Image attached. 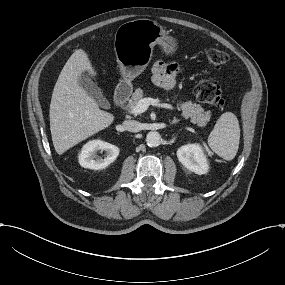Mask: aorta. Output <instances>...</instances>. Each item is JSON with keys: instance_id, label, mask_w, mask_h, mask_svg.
Listing matches in <instances>:
<instances>
[{"instance_id": "1", "label": "aorta", "mask_w": 285, "mask_h": 285, "mask_svg": "<svg viewBox=\"0 0 285 285\" xmlns=\"http://www.w3.org/2000/svg\"><path fill=\"white\" fill-rule=\"evenodd\" d=\"M146 142L150 147H157L161 143V135L156 131L149 132L146 135Z\"/></svg>"}]
</instances>
